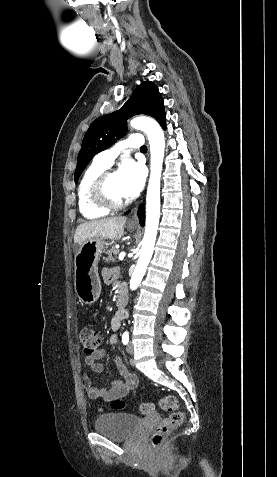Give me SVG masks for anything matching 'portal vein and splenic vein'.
Here are the masks:
<instances>
[{"instance_id":"obj_1","label":"portal vein and splenic vein","mask_w":277,"mask_h":477,"mask_svg":"<svg viewBox=\"0 0 277 477\" xmlns=\"http://www.w3.org/2000/svg\"><path fill=\"white\" fill-rule=\"evenodd\" d=\"M125 256H126V253L124 251H122V252L119 253L118 259L123 260Z\"/></svg>"}]
</instances>
